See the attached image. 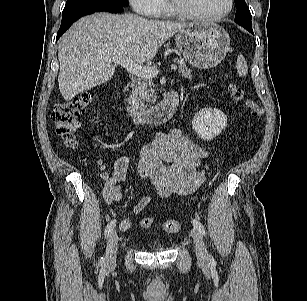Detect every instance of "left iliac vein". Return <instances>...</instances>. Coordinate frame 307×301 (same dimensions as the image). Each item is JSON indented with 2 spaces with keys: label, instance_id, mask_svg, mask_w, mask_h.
I'll return each instance as SVG.
<instances>
[{
  "label": "left iliac vein",
  "instance_id": "left-iliac-vein-1",
  "mask_svg": "<svg viewBox=\"0 0 307 301\" xmlns=\"http://www.w3.org/2000/svg\"><path fill=\"white\" fill-rule=\"evenodd\" d=\"M191 236L195 245V252L197 260L201 264H205L208 261V253L201 234L194 228L191 230Z\"/></svg>",
  "mask_w": 307,
  "mask_h": 301
}]
</instances>
